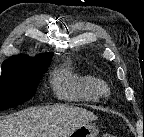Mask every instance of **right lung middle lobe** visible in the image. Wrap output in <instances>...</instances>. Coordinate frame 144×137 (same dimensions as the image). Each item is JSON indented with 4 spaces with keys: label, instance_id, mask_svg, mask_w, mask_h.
<instances>
[{
    "label": "right lung middle lobe",
    "instance_id": "right-lung-middle-lobe-1",
    "mask_svg": "<svg viewBox=\"0 0 144 137\" xmlns=\"http://www.w3.org/2000/svg\"><path fill=\"white\" fill-rule=\"evenodd\" d=\"M50 61L41 65L2 67L0 76V111L29 100Z\"/></svg>",
    "mask_w": 144,
    "mask_h": 137
}]
</instances>
